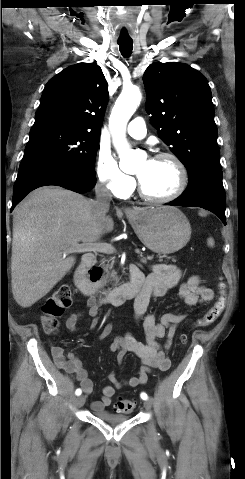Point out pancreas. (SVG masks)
Listing matches in <instances>:
<instances>
[{
    "label": "pancreas",
    "instance_id": "cf45deb5",
    "mask_svg": "<svg viewBox=\"0 0 245 479\" xmlns=\"http://www.w3.org/2000/svg\"><path fill=\"white\" fill-rule=\"evenodd\" d=\"M149 259L151 258H141V262L146 263L147 260ZM159 260L160 261L162 260V256H159ZM173 261L175 262L174 259ZM113 264H114L113 258H110V259L102 258L100 266L104 271V276L97 284L99 288L102 289L104 288V286H106L108 283H111V282H113L112 283L113 286H116L118 284L120 279L117 276V273L113 270Z\"/></svg>",
    "mask_w": 245,
    "mask_h": 479
}]
</instances>
